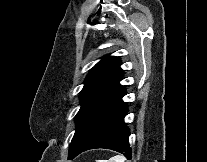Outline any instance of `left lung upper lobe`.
Segmentation results:
<instances>
[{
    "mask_svg": "<svg viewBox=\"0 0 207 162\" xmlns=\"http://www.w3.org/2000/svg\"><path fill=\"white\" fill-rule=\"evenodd\" d=\"M120 64L117 57L105 56L87 75L80 92L81 108L75 117L76 132L72 143L97 108L123 87L119 84L123 77Z\"/></svg>",
    "mask_w": 207,
    "mask_h": 162,
    "instance_id": "obj_1",
    "label": "left lung upper lobe"
}]
</instances>
